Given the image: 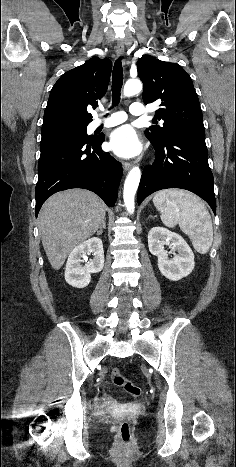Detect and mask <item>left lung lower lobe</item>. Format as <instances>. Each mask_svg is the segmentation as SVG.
<instances>
[{
	"label": "left lung lower lobe",
	"mask_w": 236,
	"mask_h": 467,
	"mask_svg": "<svg viewBox=\"0 0 236 467\" xmlns=\"http://www.w3.org/2000/svg\"><path fill=\"white\" fill-rule=\"evenodd\" d=\"M151 143L156 150V159L153 166L143 170L138 204L155 191L181 188L200 196L216 214L214 178L208 165L205 131H178L162 143Z\"/></svg>",
	"instance_id": "1"
}]
</instances>
